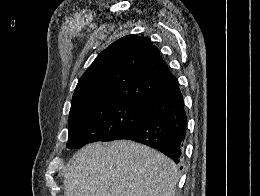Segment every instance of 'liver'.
<instances>
[{"label": "liver", "mask_w": 260, "mask_h": 196, "mask_svg": "<svg viewBox=\"0 0 260 196\" xmlns=\"http://www.w3.org/2000/svg\"><path fill=\"white\" fill-rule=\"evenodd\" d=\"M179 172L173 160L131 142H95L71 158L64 196H175Z\"/></svg>", "instance_id": "1"}]
</instances>
